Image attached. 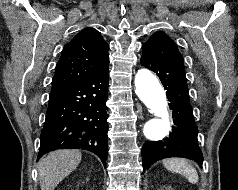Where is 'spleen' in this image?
I'll list each match as a JSON object with an SVG mask.
<instances>
[{"instance_id": "3e777b00", "label": "spleen", "mask_w": 238, "mask_h": 190, "mask_svg": "<svg viewBox=\"0 0 238 190\" xmlns=\"http://www.w3.org/2000/svg\"><path fill=\"white\" fill-rule=\"evenodd\" d=\"M163 165L167 170L183 175L192 184H196L199 180L196 169L186 159H166Z\"/></svg>"}]
</instances>
